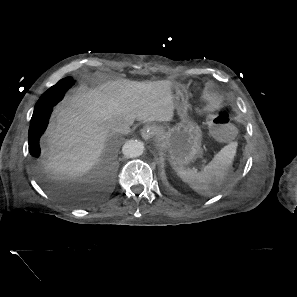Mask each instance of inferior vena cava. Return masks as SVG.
I'll return each instance as SVG.
<instances>
[{"label": "inferior vena cava", "instance_id": "602c4592", "mask_svg": "<svg viewBox=\"0 0 297 297\" xmlns=\"http://www.w3.org/2000/svg\"><path fill=\"white\" fill-rule=\"evenodd\" d=\"M131 124L132 122L129 120H121V121L115 122L112 125V131L114 133H119V134H128L130 132Z\"/></svg>", "mask_w": 297, "mask_h": 297}]
</instances>
